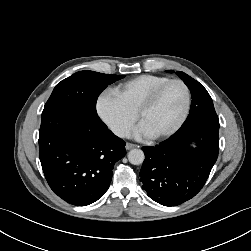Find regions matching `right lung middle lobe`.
<instances>
[{
  "mask_svg": "<svg viewBox=\"0 0 251 251\" xmlns=\"http://www.w3.org/2000/svg\"><path fill=\"white\" fill-rule=\"evenodd\" d=\"M124 77L125 75L94 71L76 72L56 85L43 113L63 106H78L96 112V101L100 93L108 85Z\"/></svg>",
  "mask_w": 251,
  "mask_h": 251,
  "instance_id": "dd1d6c3e",
  "label": "right lung middle lobe"
}]
</instances>
